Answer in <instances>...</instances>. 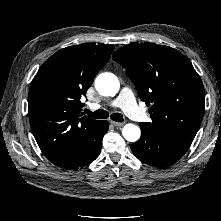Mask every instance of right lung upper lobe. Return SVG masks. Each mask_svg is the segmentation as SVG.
<instances>
[{
    "instance_id": "obj_1",
    "label": "right lung upper lobe",
    "mask_w": 221,
    "mask_h": 221,
    "mask_svg": "<svg viewBox=\"0 0 221 221\" xmlns=\"http://www.w3.org/2000/svg\"><path fill=\"white\" fill-rule=\"evenodd\" d=\"M113 45L80 44L57 51L32 80L28 115L37 144L52 163L75 162L99 121L81 113L82 96L110 59Z\"/></svg>"
}]
</instances>
